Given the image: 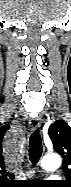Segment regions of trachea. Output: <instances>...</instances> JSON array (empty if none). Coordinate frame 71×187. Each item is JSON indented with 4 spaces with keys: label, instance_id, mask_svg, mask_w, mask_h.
Wrapping results in <instances>:
<instances>
[{
    "label": "trachea",
    "instance_id": "3493384b",
    "mask_svg": "<svg viewBox=\"0 0 71 187\" xmlns=\"http://www.w3.org/2000/svg\"><path fill=\"white\" fill-rule=\"evenodd\" d=\"M42 151V140L40 138L39 129H36L29 139V157L33 166H36L39 162Z\"/></svg>",
    "mask_w": 71,
    "mask_h": 187
}]
</instances>
